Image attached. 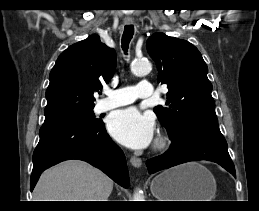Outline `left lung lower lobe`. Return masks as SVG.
<instances>
[{
  "label": "left lung lower lobe",
  "mask_w": 259,
  "mask_h": 211,
  "mask_svg": "<svg viewBox=\"0 0 259 211\" xmlns=\"http://www.w3.org/2000/svg\"><path fill=\"white\" fill-rule=\"evenodd\" d=\"M196 160L215 162L236 177L227 142L221 132L203 128L191 129L172 140V145L165 154L148 160L146 164L148 172L155 173Z\"/></svg>",
  "instance_id": "0a47b994"
}]
</instances>
